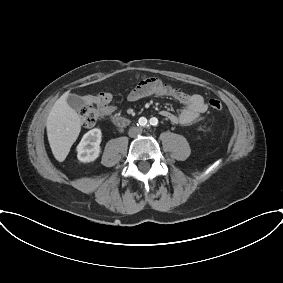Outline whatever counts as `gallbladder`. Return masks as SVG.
Segmentation results:
<instances>
[{
	"label": "gallbladder",
	"mask_w": 283,
	"mask_h": 283,
	"mask_svg": "<svg viewBox=\"0 0 283 283\" xmlns=\"http://www.w3.org/2000/svg\"><path fill=\"white\" fill-rule=\"evenodd\" d=\"M67 103L74 110H80L84 104L82 98L76 94H70L67 97Z\"/></svg>",
	"instance_id": "bac80fb5"
}]
</instances>
